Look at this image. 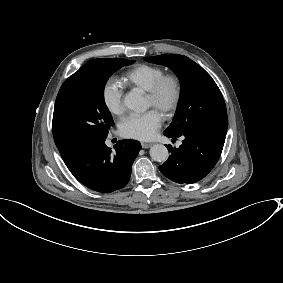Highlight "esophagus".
<instances>
[{"instance_id":"obj_1","label":"esophagus","mask_w":283,"mask_h":283,"mask_svg":"<svg viewBox=\"0 0 283 283\" xmlns=\"http://www.w3.org/2000/svg\"><path fill=\"white\" fill-rule=\"evenodd\" d=\"M142 148L146 149V148H150L152 146L151 143H141Z\"/></svg>"}]
</instances>
